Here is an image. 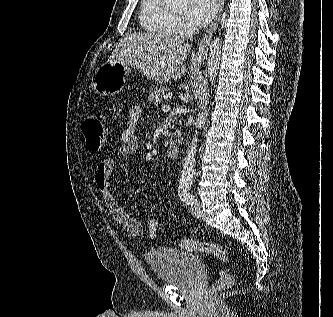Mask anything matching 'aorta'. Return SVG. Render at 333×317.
Masks as SVG:
<instances>
[{"label": "aorta", "mask_w": 333, "mask_h": 317, "mask_svg": "<svg viewBox=\"0 0 333 317\" xmlns=\"http://www.w3.org/2000/svg\"><path fill=\"white\" fill-rule=\"evenodd\" d=\"M165 1L170 6H183L187 3L188 0H165ZM220 59H221V43L218 38H215L209 47V53H208V75L210 78L211 85H213L215 82V78L217 76V72L219 69ZM207 115L208 111L204 110L198 114V118L196 119L195 123L196 130L192 138L189 151L185 158V162L183 164L181 176L179 179L180 185L192 184L193 177L195 174V162H196L195 156L197 151L196 148L199 135L198 130L205 125Z\"/></svg>", "instance_id": "obj_1"}]
</instances>
